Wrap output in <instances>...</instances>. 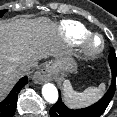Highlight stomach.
<instances>
[{
	"instance_id": "stomach-1",
	"label": "stomach",
	"mask_w": 117,
	"mask_h": 117,
	"mask_svg": "<svg viewBox=\"0 0 117 117\" xmlns=\"http://www.w3.org/2000/svg\"><path fill=\"white\" fill-rule=\"evenodd\" d=\"M76 69V62L69 53L61 57H57L50 66V70L52 73L74 72Z\"/></svg>"
}]
</instances>
